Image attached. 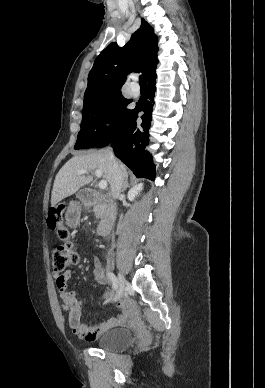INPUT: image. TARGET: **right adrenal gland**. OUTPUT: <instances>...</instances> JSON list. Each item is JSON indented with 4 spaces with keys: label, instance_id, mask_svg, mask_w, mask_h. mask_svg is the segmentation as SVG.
<instances>
[{
    "label": "right adrenal gland",
    "instance_id": "1",
    "mask_svg": "<svg viewBox=\"0 0 265 388\" xmlns=\"http://www.w3.org/2000/svg\"><path fill=\"white\" fill-rule=\"evenodd\" d=\"M126 188H130L129 182H128V178H126V180H125V182H124V184L122 186L121 192H125Z\"/></svg>",
    "mask_w": 265,
    "mask_h": 388
}]
</instances>
